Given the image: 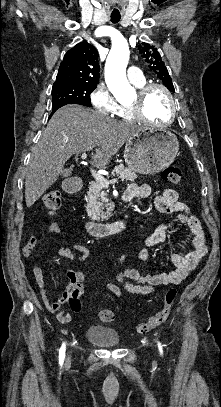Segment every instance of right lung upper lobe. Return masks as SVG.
<instances>
[{"label":"right lung upper lobe","instance_id":"obj_1","mask_svg":"<svg viewBox=\"0 0 221 407\" xmlns=\"http://www.w3.org/2000/svg\"><path fill=\"white\" fill-rule=\"evenodd\" d=\"M99 54L89 43L81 42L67 51L53 88L68 84H96L99 80Z\"/></svg>","mask_w":221,"mask_h":407}]
</instances>
